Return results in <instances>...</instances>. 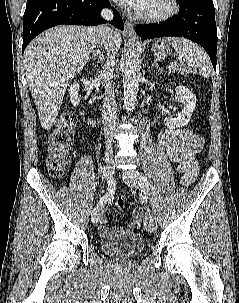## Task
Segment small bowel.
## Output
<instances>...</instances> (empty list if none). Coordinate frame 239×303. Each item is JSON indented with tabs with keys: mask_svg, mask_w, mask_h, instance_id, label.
Segmentation results:
<instances>
[{
	"mask_svg": "<svg viewBox=\"0 0 239 303\" xmlns=\"http://www.w3.org/2000/svg\"><path fill=\"white\" fill-rule=\"evenodd\" d=\"M158 141L169 159L177 165L181 174V184L184 186L190 185L198 174L197 155L203 149V137L189 129L164 130L159 133ZM135 216L139 219L140 213L136 212ZM100 219L99 234L103 237H109L124 231L135 232L139 226L133 221L126 225L111 228L106 217Z\"/></svg>",
	"mask_w": 239,
	"mask_h": 303,
	"instance_id": "1",
	"label": "small bowel"
}]
</instances>
